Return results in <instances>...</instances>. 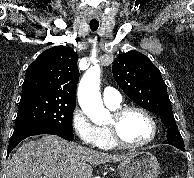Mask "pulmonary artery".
Segmentation results:
<instances>
[{
    "label": "pulmonary artery",
    "mask_w": 194,
    "mask_h": 178,
    "mask_svg": "<svg viewBox=\"0 0 194 178\" xmlns=\"http://www.w3.org/2000/svg\"><path fill=\"white\" fill-rule=\"evenodd\" d=\"M102 98L106 105H118L122 101L120 93L112 87H106L103 90Z\"/></svg>",
    "instance_id": "obj_1"
}]
</instances>
